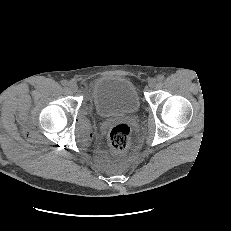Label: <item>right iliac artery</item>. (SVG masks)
<instances>
[{"label": "right iliac artery", "mask_w": 231, "mask_h": 231, "mask_svg": "<svg viewBox=\"0 0 231 231\" xmlns=\"http://www.w3.org/2000/svg\"><path fill=\"white\" fill-rule=\"evenodd\" d=\"M61 84H62L63 86H67V85H68V81H67V80H62V81H61Z\"/></svg>", "instance_id": "obj_1"}]
</instances>
